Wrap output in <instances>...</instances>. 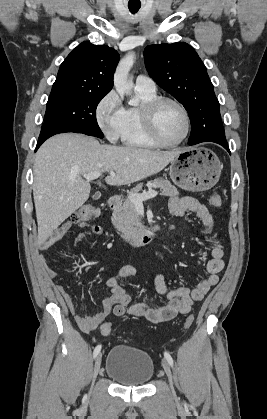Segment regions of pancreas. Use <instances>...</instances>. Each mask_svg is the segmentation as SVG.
<instances>
[{
  "mask_svg": "<svg viewBox=\"0 0 267 419\" xmlns=\"http://www.w3.org/2000/svg\"><path fill=\"white\" fill-rule=\"evenodd\" d=\"M147 185L158 186L162 189L161 195L176 197L179 192L170 181L164 178H156L153 181H148ZM143 183L138 184L136 187L130 190L129 195L138 194L142 190ZM113 225L122 233V236L126 239H132L136 236L138 229L142 226L140 222V216L136 211L135 204L128 198L114 210L112 214Z\"/></svg>",
  "mask_w": 267,
  "mask_h": 419,
  "instance_id": "1",
  "label": "pancreas"
}]
</instances>
